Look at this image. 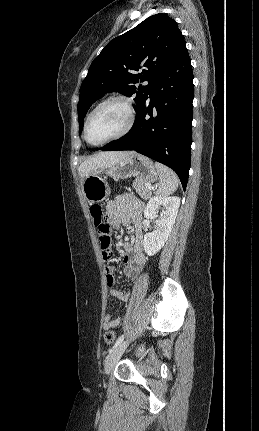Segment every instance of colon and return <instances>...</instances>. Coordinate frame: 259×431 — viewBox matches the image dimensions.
Segmentation results:
<instances>
[{
  "instance_id": "1",
  "label": "colon",
  "mask_w": 259,
  "mask_h": 431,
  "mask_svg": "<svg viewBox=\"0 0 259 431\" xmlns=\"http://www.w3.org/2000/svg\"><path fill=\"white\" fill-rule=\"evenodd\" d=\"M90 214L97 229L103 257L105 260H108L113 256V252L111 249L110 225L105 221L103 209L100 205H91ZM104 340L107 344H112L115 340V332L112 329L106 330L104 334Z\"/></svg>"
}]
</instances>
